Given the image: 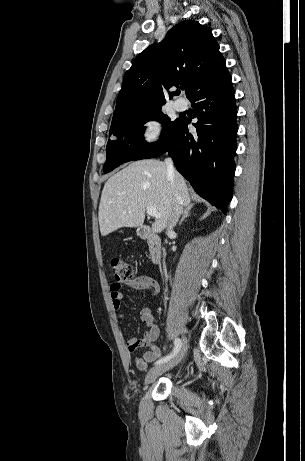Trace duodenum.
Returning <instances> with one entry per match:
<instances>
[{
	"label": "duodenum",
	"mask_w": 305,
	"mask_h": 461,
	"mask_svg": "<svg viewBox=\"0 0 305 461\" xmlns=\"http://www.w3.org/2000/svg\"><path fill=\"white\" fill-rule=\"evenodd\" d=\"M140 233L149 247L150 262L158 264L162 257L161 240L148 227L141 228Z\"/></svg>",
	"instance_id": "obj_1"
}]
</instances>
